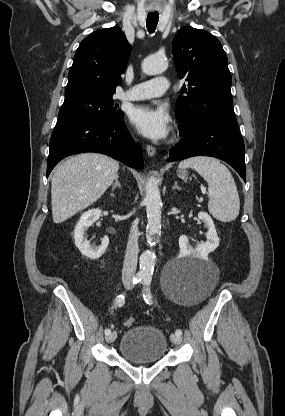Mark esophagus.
Here are the masks:
<instances>
[{
  "instance_id": "obj_1",
  "label": "esophagus",
  "mask_w": 285,
  "mask_h": 416,
  "mask_svg": "<svg viewBox=\"0 0 285 416\" xmlns=\"http://www.w3.org/2000/svg\"><path fill=\"white\" fill-rule=\"evenodd\" d=\"M146 151H147V153H148L149 156H154L155 153H156V149L152 145H147L146 146Z\"/></svg>"
}]
</instances>
